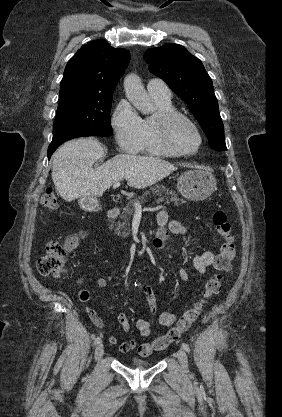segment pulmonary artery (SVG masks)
<instances>
[{
    "label": "pulmonary artery",
    "mask_w": 282,
    "mask_h": 417,
    "mask_svg": "<svg viewBox=\"0 0 282 417\" xmlns=\"http://www.w3.org/2000/svg\"><path fill=\"white\" fill-rule=\"evenodd\" d=\"M147 90L149 95L155 99L169 101L172 96L169 87L160 79H151L147 84Z\"/></svg>",
    "instance_id": "pulmonary-artery-1"
}]
</instances>
